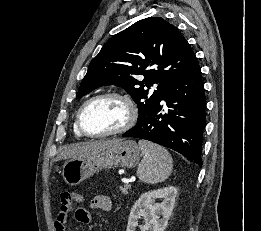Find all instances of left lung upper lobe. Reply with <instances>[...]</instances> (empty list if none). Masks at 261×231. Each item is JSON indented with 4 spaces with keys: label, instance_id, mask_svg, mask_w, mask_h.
Wrapping results in <instances>:
<instances>
[{
    "label": "left lung upper lobe",
    "instance_id": "1",
    "mask_svg": "<svg viewBox=\"0 0 261 231\" xmlns=\"http://www.w3.org/2000/svg\"><path fill=\"white\" fill-rule=\"evenodd\" d=\"M196 57L172 24L161 17L142 19L113 36L91 61L77 98L104 85L124 88L138 107V120L163 97L168 84L187 72ZM144 75L143 80L137 78ZM158 84L154 92H149ZM147 87L148 89H144Z\"/></svg>",
    "mask_w": 261,
    "mask_h": 231
}]
</instances>
